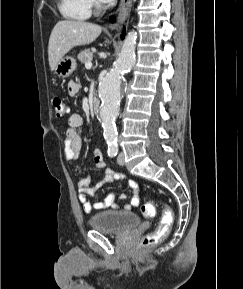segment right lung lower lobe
Returning a JSON list of instances; mask_svg holds the SVG:
<instances>
[{
	"label": "right lung lower lobe",
	"mask_w": 243,
	"mask_h": 289,
	"mask_svg": "<svg viewBox=\"0 0 243 289\" xmlns=\"http://www.w3.org/2000/svg\"><path fill=\"white\" fill-rule=\"evenodd\" d=\"M110 21H111V22H114L115 19H114L113 17H110ZM121 38H122V39L124 38V34L121 36Z\"/></svg>",
	"instance_id": "98d812e1"
}]
</instances>
